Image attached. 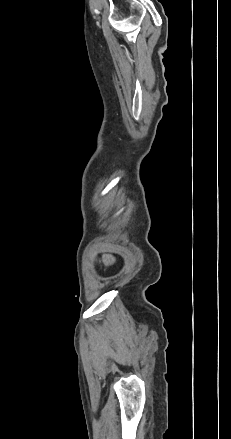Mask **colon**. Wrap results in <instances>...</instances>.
<instances>
[{
  "mask_svg": "<svg viewBox=\"0 0 231 439\" xmlns=\"http://www.w3.org/2000/svg\"><path fill=\"white\" fill-rule=\"evenodd\" d=\"M103 261L107 263V262H108V259L104 258Z\"/></svg>",
  "mask_w": 231,
  "mask_h": 439,
  "instance_id": "1",
  "label": "colon"
}]
</instances>
